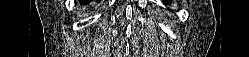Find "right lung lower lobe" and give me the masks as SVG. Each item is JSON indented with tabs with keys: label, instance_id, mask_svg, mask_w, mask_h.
Returning a JSON list of instances; mask_svg holds the SVG:
<instances>
[{
	"label": "right lung lower lobe",
	"instance_id": "98d812e1",
	"mask_svg": "<svg viewBox=\"0 0 249 57\" xmlns=\"http://www.w3.org/2000/svg\"><path fill=\"white\" fill-rule=\"evenodd\" d=\"M87 3H89V0H88V1H86V4H87Z\"/></svg>",
	"mask_w": 249,
	"mask_h": 57
}]
</instances>
